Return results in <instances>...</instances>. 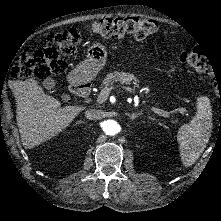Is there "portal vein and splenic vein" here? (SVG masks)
Masks as SVG:
<instances>
[{"label": "portal vein and splenic vein", "instance_id": "1", "mask_svg": "<svg viewBox=\"0 0 221 221\" xmlns=\"http://www.w3.org/2000/svg\"><path fill=\"white\" fill-rule=\"evenodd\" d=\"M114 90V87L112 85H109L107 87V89H104L102 93L99 94V96L97 97V102L98 103H103L104 100L106 99L107 96L110 95V92H112ZM121 91L123 93H127V94H131L132 96H135L137 94V91L135 89H131L130 87H126V86H123L121 88ZM142 105L144 107H146V109L152 111L154 114L156 115H159V116H166L167 115V112L166 111H163L159 108H157L155 105L153 104H150L147 100H142Z\"/></svg>", "mask_w": 221, "mask_h": 221}]
</instances>
